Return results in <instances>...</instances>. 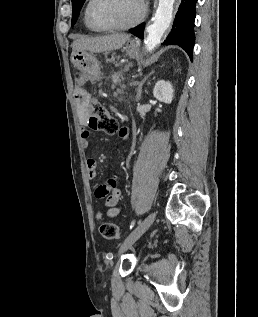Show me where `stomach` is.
Segmentation results:
<instances>
[{
  "instance_id": "0dacf381",
  "label": "stomach",
  "mask_w": 258,
  "mask_h": 317,
  "mask_svg": "<svg viewBox=\"0 0 258 317\" xmlns=\"http://www.w3.org/2000/svg\"><path fill=\"white\" fill-rule=\"evenodd\" d=\"M124 50H126L131 58H139L140 56V44L137 40H128L124 46ZM71 60L82 74L92 76V74H99L100 72L99 60H97L92 52H88V50H76L72 54Z\"/></svg>"
}]
</instances>
